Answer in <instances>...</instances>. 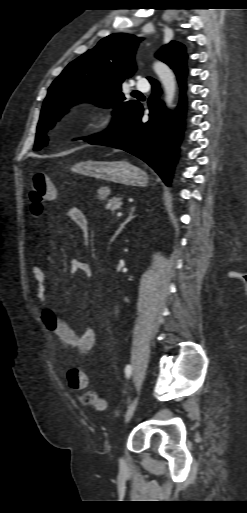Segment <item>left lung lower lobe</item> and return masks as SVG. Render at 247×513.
<instances>
[{
	"label": "left lung lower lobe",
	"instance_id": "1",
	"mask_svg": "<svg viewBox=\"0 0 247 513\" xmlns=\"http://www.w3.org/2000/svg\"><path fill=\"white\" fill-rule=\"evenodd\" d=\"M174 72L181 87L180 103L174 116L169 115L159 99L161 90L157 82L152 84L153 94L148 100L150 110L148 122L143 123L141 120L143 107L139 103L122 122L115 125V130L100 134L89 141L90 144L122 149L139 157L150 165L168 186L177 160L178 145L183 130L186 62L177 67Z\"/></svg>",
	"mask_w": 247,
	"mask_h": 513
}]
</instances>
